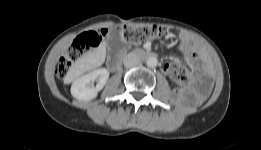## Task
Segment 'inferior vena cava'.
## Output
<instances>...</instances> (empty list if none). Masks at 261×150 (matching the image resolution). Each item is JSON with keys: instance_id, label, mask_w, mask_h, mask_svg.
<instances>
[{"instance_id": "obj_1", "label": "inferior vena cava", "mask_w": 261, "mask_h": 150, "mask_svg": "<svg viewBox=\"0 0 261 150\" xmlns=\"http://www.w3.org/2000/svg\"><path fill=\"white\" fill-rule=\"evenodd\" d=\"M123 63L126 68H130L139 65L140 59L134 53H129L125 56Z\"/></svg>"}]
</instances>
